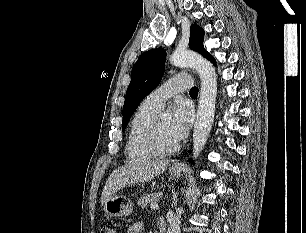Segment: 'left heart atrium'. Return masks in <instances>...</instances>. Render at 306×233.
Segmentation results:
<instances>
[{
	"mask_svg": "<svg viewBox=\"0 0 306 233\" xmlns=\"http://www.w3.org/2000/svg\"><path fill=\"white\" fill-rule=\"evenodd\" d=\"M192 111L181 102H177L173 107L172 117L169 122V132L175 142L182 141L192 123Z\"/></svg>",
	"mask_w": 306,
	"mask_h": 233,
	"instance_id": "39dd6f15",
	"label": "left heart atrium"
}]
</instances>
